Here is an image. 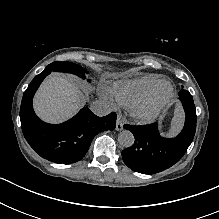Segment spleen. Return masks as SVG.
Listing matches in <instances>:
<instances>
[{
	"label": "spleen",
	"instance_id": "obj_1",
	"mask_svg": "<svg viewBox=\"0 0 219 219\" xmlns=\"http://www.w3.org/2000/svg\"><path fill=\"white\" fill-rule=\"evenodd\" d=\"M184 112L182 110L181 104L178 102L175 107L174 117L172 120L171 129L165 135L167 137H175L182 129L184 122Z\"/></svg>",
	"mask_w": 219,
	"mask_h": 219
}]
</instances>
